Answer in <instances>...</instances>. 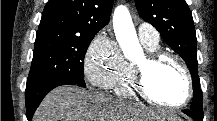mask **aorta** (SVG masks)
<instances>
[{"instance_id":"aorta-1","label":"aorta","mask_w":217,"mask_h":121,"mask_svg":"<svg viewBox=\"0 0 217 121\" xmlns=\"http://www.w3.org/2000/svg\"><path fill=\"white\" fill-rule=\"evenodd\" d=\"M113 27L116 39L129 60L141 54L142 49L139 44L137 34L132 22L130 12L126 6H118L113 14Z\"/></svg>"}]
</instances>
